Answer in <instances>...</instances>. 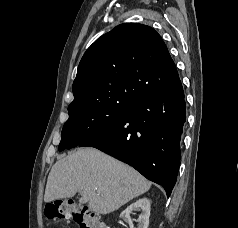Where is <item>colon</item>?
<instances>
[{
  "mask_svg": "<svg viewBox=\"0 0 238 228\" xmlns=\"http://www.w3.org/2000/svg\"><path fill=\"white\" fill-rule=\"evenodd\" d=\"M45 215L50 220H73L79 228H108L99 215L70 199L49 204Z\"/></svg>",
  "mask_w": 238,
  "mask_h": 228,
  "instance_id": "obj_1",
  "label": "colon"
}]
</instances>
